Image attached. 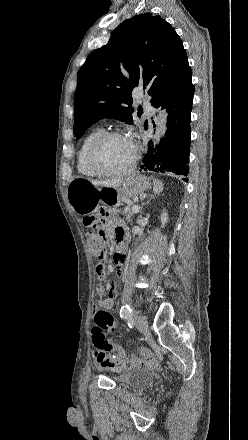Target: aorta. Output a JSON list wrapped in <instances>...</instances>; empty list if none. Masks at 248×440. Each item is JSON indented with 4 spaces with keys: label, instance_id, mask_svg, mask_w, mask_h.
Returning <instances> with one entry per match:
<instances>
[{
    "label": "aorta",
    "instance_id": "aorta-1",
    "mask_svg": "<svg viewBox=\"0 0 248 440\" xmlns=\"http://www.w3.org/2000/svg\"><path fill=\"white\" fill-rule=\"evenodd\" d=\"M167 113L163 111L159 114L158 123L155 129L154 143L158 144L167 130Z\"/></svg>",
    "mask_w": 248,
    "mask_h": 440
}]
</instances>
